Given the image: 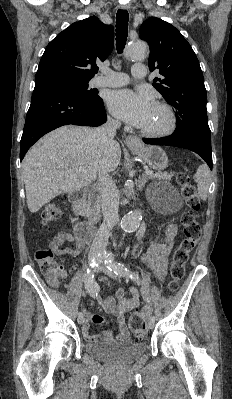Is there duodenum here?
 <instances>
[{
    "label": "duodenum",
    "mask_w": 232,
    "mask_h": 399,
    "mask_svg": "<svg viewBox=\"0 0 232 399\" xmlns=\"http://www.w3.org/2000/svg\"><path fill=\"white\" fill-rule=\"evenodd\" d=\"M85 195V190L79 189L73 191L69 196L71 210L75 216L79 215L80 209L85 199ZM95 232V227L87 223L78 224L75 228V236L83 243L90 242L93 239Z\"/></svg>",
    "instance_id": "duodenum-1"
}]
</instances>
